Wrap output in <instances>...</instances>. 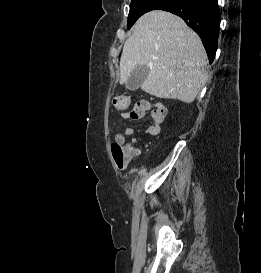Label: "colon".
<instances>
[{"mask_svg": "<svg viewBox=\"0 0 261 273\" xmlns=\"http://www.w3.org/2000/svg\"><path fill=\"white\" fill-rule=\"evenodd\" d=\"M114 107L118 110L128 109L131 105V98L126 95L117 96L113 100ZM144 116V105L141 101L136 103L130 111L132 120L140 119ZM112 157L119 168H123L128 163V149L123 145V139L117 136L111 145Z\"/></svg>", "mask_w": 261, "mask_h": 273, "instance_id": "1", "label": "colon"}]
</instances>
